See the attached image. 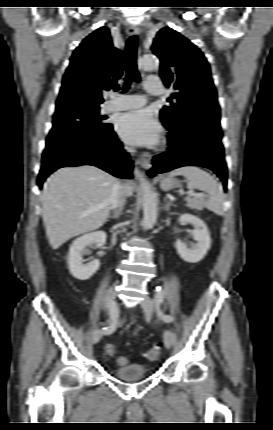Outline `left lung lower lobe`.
I'll use <instances>...</instances> for the list:
<instances>
[{"mask_svg":"<svg viewBox=\"0 0 273 430\" xmlns=\"http://www.w3.org/2000/svg\"><path fill=\"white\" fill-rule=\"evenodd\" d=\"M163 125L170 131L167 137L169 150L153 159L150 176L164 173L182 166H202L213 170L227 189V167L221 143L220 120L213 115L202 114L184 126L182 131L167 122Z\"/></svg>","mask_w":273,"mask_h":430,"instance_id":"left-lung-lower-lobe-1","label":"left lung lower lobe"}]
</instances>
